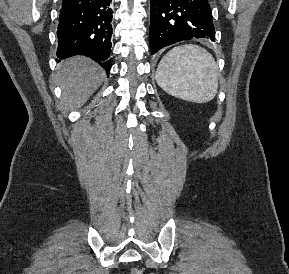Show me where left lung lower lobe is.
Here are the masks:
<instances>
[{"label":"left lung lower lobe","mask_w":289,"mask_h":274,"mask_svg":"<svg viewBox=\"0 0 289 274\" xmlns=\"http://www.w3.org/2000/svg\"><path fill=\"white\" fill-rule=\"evenodd\" d=\"M215 41L208 0H151V54L182 40Z\"/></svg>","instance_id":"obj_1"}]
</instances>
